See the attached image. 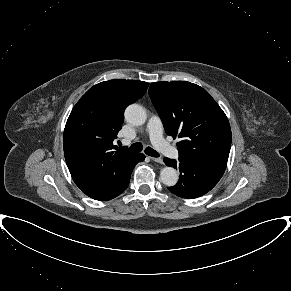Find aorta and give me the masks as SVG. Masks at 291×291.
I'll list each match as a JSON object with an SVG mask.
<instances>
[{"instance_id":"762f6f07","label":"aorta","mask_w":291,"mask_h":291,"mask_svg":"<svg viewBox=\"0 0 291 291\" xmlns=\"http://www.w3.org/2000/svg\"><path fill=\"white\" fill-rule=\"evenodd\" d=\"M146 118V111L139 104H131L125 110L126 121L134 126L143 125L146 122ZM178 178V172L172 167H164L160 171V180L166 186H174Z\"/></svg>"}]
</instances>
